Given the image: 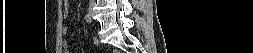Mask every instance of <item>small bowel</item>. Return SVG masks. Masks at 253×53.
<instances>
[{
    "mask_svg": "<svg viewBox=\"0 0 253 53\" xmlns=\"http://www.w3.org/2000/svg\"><path fill=\"white\" fill-rule=\"evenodd\" d=\"M64 17H67L68 16V8L67 7H64ZM63 32L66 34L67 33V28L65 27L64 29H63ZM64 46L65 47H67L68 46V44H67V42H64Z\"/></svg>",
    "mask_w": 253,
    "mask_h": 53,
    "instance_id": "c3829d8e",
    "label": "small bowel"
}]
</instances>
